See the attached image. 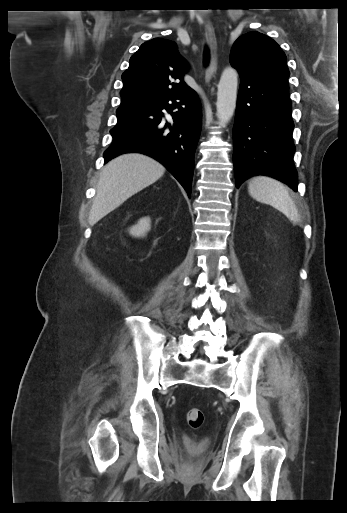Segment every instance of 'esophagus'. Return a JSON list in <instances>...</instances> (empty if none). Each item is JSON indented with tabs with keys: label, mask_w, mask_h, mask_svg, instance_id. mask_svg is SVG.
Returning a JSON list of instances; mask_svg holds the SVG:
<instances>
[{
	"label": "esophagus",
	"mask_w": 347,
	"mask_h": 513,
	"mask_svg": "<svg viewBox=\"0 0 347 513\" xmlns=\"http://www.w3.org/2000/svg\"><path fill=\"white\" fill-rule=\"evenodd\" d=\"M205 36L210 49V63L205 71V80L209 82L217 70V42L213 25L210 21L205 23Z\"/></svg>",
	"instance_id": "34e87169"
}]
</instances>
